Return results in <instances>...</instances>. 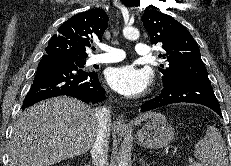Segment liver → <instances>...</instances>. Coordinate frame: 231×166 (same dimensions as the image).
<instances>
[{
    "mask_svg": "<svg viewBox=\"0 0 231 166\" xmlns=\"http://www.w3.org/2000/svg\"><path fill=\"white\" fill-rule=\"evenodd\" d=\"M154 114H142L135 123ZM98 129L95 109L85 103L69 97L42 101L17 119L9 142V166H50L80 156L93 147Z\"/></svg>",
    "mask_w": 231,
    "mask_h": 166,
    "instance_id": "6515ba94",
    "label": "liver"
}]
</instances>
